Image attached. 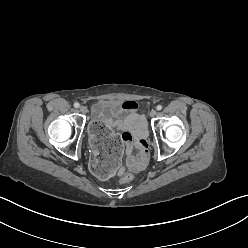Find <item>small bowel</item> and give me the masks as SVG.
Listing matches in <instances>:
<instances>
[{"instance_id": "1", "label": "small bowel", "mask_w": 248, "mask_h": 248, "mask_svg": "<svg viewBox=\"0 0 248 248\" xmlns=\"http://www.w3.org/2000/svg\"><path fill=\"white\" fill-rule=\"evenodd\" d=\"M109 109L113 112L124 110L128 113L120 121L108 120L104 123L109 128H119L123 131L121 139L125 145V164L131 172L141 171L147 163L149 146L146 140V122L142 115L137 113V103L131 100L118 104L107 101ZM134 149L137 155L133 154Z\"/></svg>"}]
</instances>
